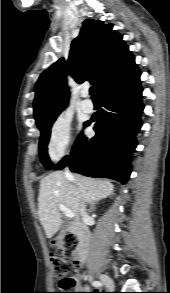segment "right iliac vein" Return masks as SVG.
I'll use <instances>...</instances> for the list:
<instances>
[{
    "instance_id": "obj_1",
    "label": "right iliac vein",
    "mask_w": 170,
    "mask_h": 293,
    "mask_svg": "<svg viewBox=\"0 0 170 293\" xmlns=\"http://www.w3.org/2000/svg\"><path fill=\"white\" fill-rule=\"evenodd\" d=\"M100 280L103 282V284L108 288V289H113L114 287V283L112 281V279L105 275V274H102L100 275Z\"/></svg>"
}]
</instances>
